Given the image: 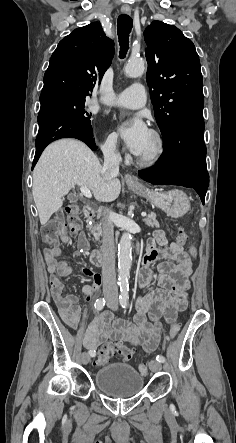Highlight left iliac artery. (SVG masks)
<instances>
[{"instance_id": "left-iliac-artery-1", "label": "left iliac artery", "mask_w": 236, "mask_h": 443, "mask_svg": "<svg viewBox=\"0 0 236 443\" xmlns=\"http://www.w3.org/2000/svg\"><path fill=\"white\" fill-rule=\"evenodd\" d=\"M120 296H119V302L120 305L123 308H126L128 306V300H129V295H128V291H129V286H123L121 287L120 290ZM156 360L160 363L165 361V358L162 355H157L156 356Z\"/></svg>"}]
</instances>
